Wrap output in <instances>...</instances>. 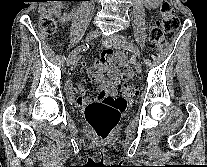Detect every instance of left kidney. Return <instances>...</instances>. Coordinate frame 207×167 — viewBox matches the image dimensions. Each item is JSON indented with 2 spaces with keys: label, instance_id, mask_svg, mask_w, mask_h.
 <instances>
[{
  "label": "left kidney",
  "instance_id": "left-kidney-1",
  "mask_svg": "<svg viewBox=\"0 0 207 167\" xmlns=\"http://www.w3.org/2000/svg\"><path fill=\"white\" fill-rule=\"evenodd\" d=\"M146 7H157L159 4V0H144Z\"/></svg>",
  "mask_w": 207,
  "mask_h": 167
}]
</instances>
